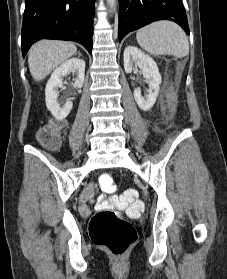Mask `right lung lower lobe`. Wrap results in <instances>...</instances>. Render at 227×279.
Returning <instances> with one entry per match:
<instances>
[{
    "label": "right lung lower lobe",
    "instance_id": "obj_1",
    "mask_svg": "<svg viewBox=\"0 0 227 279\" xmlns=\"http://www.w3.org/2000/svg\"><path fill=\"white\" fill-rule=\"evenodd\" d=\"M95 0H25L22 54L40 39L70 40L92 52Z\"/></svg>",
    "mask_w": 227,
    "mask_h": 279
}]
</instances>
